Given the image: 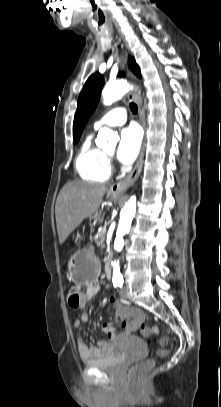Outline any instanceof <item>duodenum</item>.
Segmentation results:
<instances>
[{"instance_id": "1", "label": "duodenum", "mask_w": 221, "mask_h": 407, "mask_svg": "<svg viewBox=\"0 0 221 407\" xmlns=\"http://www.w3.org/2000/svg\"><path fill=\"white\" fill-rule=\"evenodd\" d=\"M105 272H106V275H107L108 277H110L111 274H112V262H111L110 259L107 260V262H106V264H105Z\"/></svg>"}]
</instances>
